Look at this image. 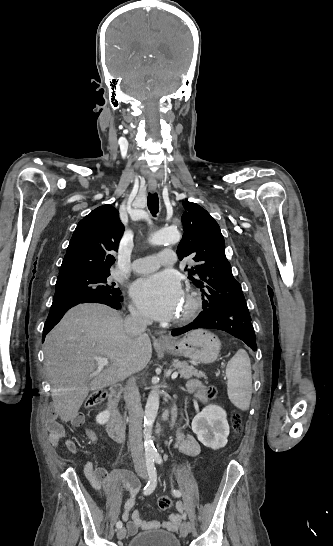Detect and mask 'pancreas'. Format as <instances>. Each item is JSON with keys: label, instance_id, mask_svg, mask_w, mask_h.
<instances>
[{"label": "pancreas", "instance_id": "pancreas-1", "mask_svg": "<svg viewBox=\"0 0 333 546\" xmlns=\"http://www.w3.org/2000/svg\"><path fill=\"white\" fill-rule=\"evenodd\" d=\"M171 366L173 370H177L179 372L181 378L189 379L192 376H195L197 378L206 379L205 373L198 371L195 367L190 366L187 362L174 361L172 362Z\"/></svg>", "mask_w": 333, "mask_h": 546}]
</instances>
